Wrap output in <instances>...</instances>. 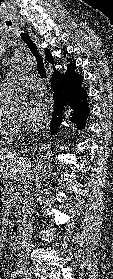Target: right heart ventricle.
Returning <instances> with one entry per match:
<instances>
[{
	"label": "right heart ventricle",
	"mask_w": 113,
	"mask_h": 279,
	"mask_svg": "<svg viewBox=\"0 0 113 279\" xmlns=\"http://www.w3.org/2000/svg\"><path fill=\"white\" fill-rule=\"evenodd\" d=\"M7 94L0 90V147L13 142L16 134L15 126L9 122L4 113Z\"/></svg>",
	"instance_id": "1"
}]
</instances>
